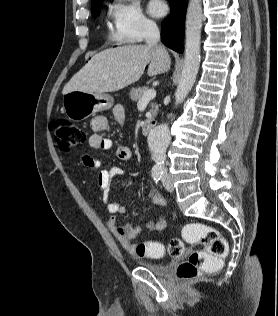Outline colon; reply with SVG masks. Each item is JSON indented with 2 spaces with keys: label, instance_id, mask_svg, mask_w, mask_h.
Wrapping results in <instances>:
<instances>
[{
  "label": "colon",
  "instance_id": "obj_1",
  "mask_svg": "<svg viewBox=\"0 0 278 316\" xmlns=\"http://www.w3.org/2000/svg\"><path fill=\"white\" fill-rule=\"evenodd\" d=\"M53 131L58 148L69 151L85 143L86 132L71 121L58 118L53 123ZM182 238L189 243L199 242L202 249L192 252L177 269V277L188 281L198 276L218 271L226 257L228 247L220 232L202 223H189L182 230ZM180 238L171 239L167 245L148 241L137 246V253L142 257H161L168 254L178 258L184 253V243Z\"/></svg>",
  "mask_w": 278,
  "mask_h": 316
}]
</instances>
